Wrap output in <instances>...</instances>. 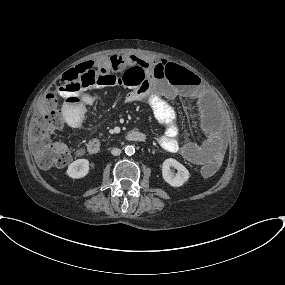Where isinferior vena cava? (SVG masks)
Masks as SVG:
<instances>
[{"label":"inferior vena cava","instance_id":"obj_1","mask_svg":"<svg viewBox=\"0 0 285 285\" xmlns=\"http://www.w3.org/2000/svg\"><path fill=\"white\" fill-rule=\"evenodd\" d=\"M111 154L114 155V156H118V155L121 154V149H119V148H113V149L111 150Z\"/></svg>","mask_w":285,"mask_h":285}]
</instances>
